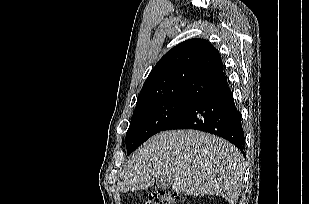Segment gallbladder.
Segmentation results:
<instances>
[{
    "mask_svg": "<svg viewBox=\"0 0 309 204\" xmlns=\"http://www.w3.org/2000/svg\"><path fill=\"white\" fill-rule=\"evenodd\" d=\"M172 186V180L166 176H160L156 180V188L160 190L168 189Z\"/></svg>",
    "mask_w": 309,
    "mask_h": 204,
    "instance_id": "obj_1",
    "label": "gallbladder"
}]
</instances>
